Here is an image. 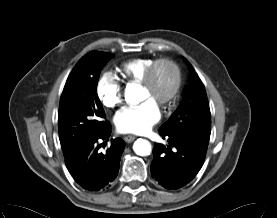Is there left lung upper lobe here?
I'll use <instances>...</instances> for the list:
<instances>
[{"label": "left lung upper lobe", "mask_w": 277, "mask_h": 218, "mask_svg": "<svg viewBox=\"0 0 277 218\" xmlns=\"http://www.w3.org/2000/svg\"><path fill=\"white\" fill-rule=\"evenodd\" d=\"M184 60L194 71L189 61L185 58ZM169 129L210 132L211 114L208 99L204 85L196 73L190 77L181 105L160 128V130Z\"/></svg>", "instance_id": "5c2ea615"}]
</instances>
